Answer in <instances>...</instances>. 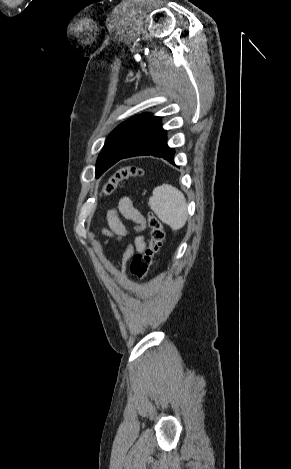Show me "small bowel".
I'll return each mask as SVG.
<instances>
[{
    "label": "small bowel",
    "mask_w": 291,
    "mask_h": 469,
    "mask_svg": "<svg viewBox=\"0 0 291 469\" xmlns=\"http://www.w3.org/2000/svg\"><path fill=\"white\" fill-rule=\"evenodd\" d=\"M123 219L135 223L134 229L136 232H140L145 228V221L141 213L128 198H123L119 202L118 209L109 212L107 216L108 227L101 230V235L107 237L115 236L117 238L126 236L128 229L124 225ZM145 247V238L142 235H138L134 240V244L125 249L121 263V278L123 280L126 278V265L128 260L134 253H142Z\"/></svg>",
    "instance_id": "obj_1"
}]
</instances>
